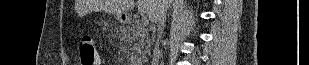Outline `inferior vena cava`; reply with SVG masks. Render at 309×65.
<instances>
[{
  "label": "inferior vena cava",
  "mask_w": 309,
  "mask_h": 65,
  "mask_svg": "<svg viewBox=\"0 0 309 65\" xmlns=\"http://www.w3.org/2000/svg\"><path fill=\"white\" fill-rule=\"evenodd\" d=\"M162 2L164 4V12L157 22L158 23V40H157L156 47H155L154 54H153L152 65H159V59H160L159 43H160L162 33L165 27L166 12L170 6L171 0H163Z\"/></svg>",
  "instance_id": "obj_1"
}]
</instances>
